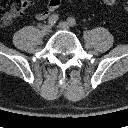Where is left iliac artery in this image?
Masks as SVG:
<instances>
[{"instance_id":"obj_1","label":"left iliac artery","mask_w":128,"mask_h":128,"mask_svg":"<svg viewBox=\"0 0 128 128\" xmlns=\"http://www.w3.org/2000/svg\"><path fill=\"white\" fill-rule=\"evenodd\" d=\"M67 21H68V24H69L70 26H72V27H74V26L76 25V20H75L73 17H69V18L67 19Z\"/></svg>"}]
</instances>
